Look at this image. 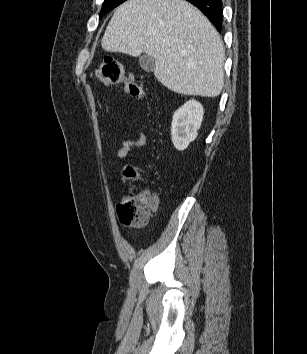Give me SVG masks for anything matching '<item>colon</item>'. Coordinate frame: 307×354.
I'll return each mask as SVG.
<instances>
[{"label": "colon", "instance_id": "1", "mask_svg": "<svg viewBox=\"0 0 307 354\" xmlns=\"http://www.w3.org/2000/svg\"><path fill=\"white\" fill-rule=\"evenodd\" d=\"M97 78L105 85L125 83L130 94L143 97L144 90L139 81L127 74L123 65L115 58L105 57L96 69ZM127 178L137 177L136 171L129 167L125 171ZM157 200L149 189H143L135 194L121 196L116 210L119 221L125 226L143 225L152 211L156 208Z\"/></svg>", "mask_w": 307, "mask_h": 354}]
</instances>
